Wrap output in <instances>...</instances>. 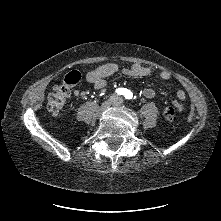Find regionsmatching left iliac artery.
Masks as SVG:
<instances>
[{"mask_svg": "<svg viewBox=\"0 0 221 221\" xmlns=\"http://www.w3.org/2000/svg\"><path fill=\"white\" fill-rule=\"evenodd\" d=\"M125 97H126V98H130V97H129V94H128V95H126Z\"/></svg>", "mask_w": 221, "mask_h": 221, "instance_id": "44dca946", "label": "left iliac artery"}]
</instances>
